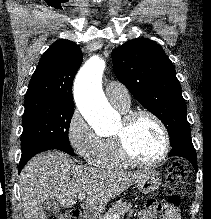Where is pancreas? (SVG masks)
<instances>
[{
    "label": "pancreas",
    "mask_w": 211,
    "mask_h": 219,
    "mask_svg": "<svg viewBox=\"0 0 211 219\" xmlns=\"http://www.w3.org/2000/svg\"><path fill=\"white\" fill-rule=\"evenodd\" d=\"M132 208L131 203L124 202L122 200L117 201L112 207L99 219H111L112 217H120Z\"/></svg>",
    "instance_id": "pancreas-1"
}]
</instances>
